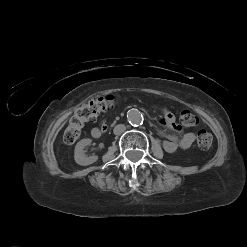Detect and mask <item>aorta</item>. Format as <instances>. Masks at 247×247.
<instances>
[{
  "mask_svg": "<svg viewBox=\"0 0 247 247\" xmlns=\"http://www.w3.org/2000/svg\"><path fill=\"white\" fill-rule=\"evenodd\" d=\"M127 118L133 126H139L143 123V116L137 109H130L127 113Z\"/></svg>",
  "mask_w": 247,
  "mask_h": 247,
  "instance_id": "obj_1",
  "label": "aorta"
}]
</instances>
